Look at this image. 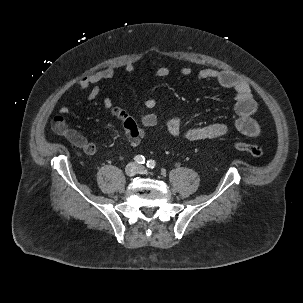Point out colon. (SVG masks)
Returning a JSON list of instances; mask_svg holds the SVG:
<instances>
[{"label": "colon", "mask_w": 303, "mask_h": 303, "mask_svg": "<svg viewBox=\"0 0 303 303\" xmlns=\"http://www.w3.org/2000/svg\"><path fill=\"white\" fill-rule=\"evenodd\" d=\"M234 147L240 151L247 152L254 157H260L263 155V149L256 144L247 143L244 141H237L234 143Z\"/></svg>", "instance_id": "5ec220e1"}]
</instances>
